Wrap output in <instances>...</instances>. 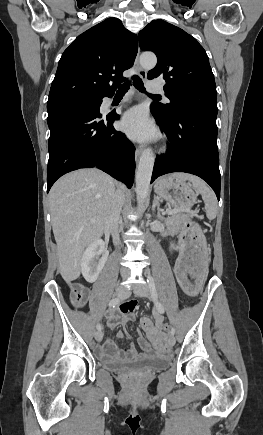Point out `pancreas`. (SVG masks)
Segmentation results:
<instances>
[{
  "instance_id": "cf45deb5",
  "label": "pancreas",
  "mask_w": 263,
  "mask_h": 435,
  "mask_svg": "<svg viewBox=\"0 0 263 435\" xmlns=\"http://www.w3.org/2000/svg\"><path fill=\"white\" fill-rule=\"evenodd\" d=\"M174 210L175 211L170 214L171 217H169L166 220V223L169 225L173 222H177V223L187 222L190 220V218H192L194 216L193 213L186 211V209H174ZM169 229H171V228H169ZM163 235H166V234H163Z\"/></svg>"
}]
</instances>
